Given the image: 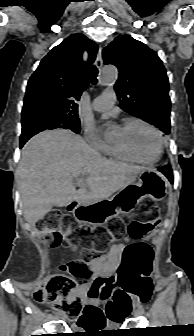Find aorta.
<instances>
[{
    "mask_svg": "<svg viewBox=\"0 0 194 336\" xmlns=\"http://www.w3.org/2000/svg\"><path fill=\"white\" fill-rule=\"evenodd\" d=\"M118 77V71L115 66L109 65L105 66L101 70V75L99 79V84L103 86L112 85L115 83ZM111 134L109 129L104 130V135L109 136Z\"/></svg>",
    "mask_w": 194,
    "mask_h": 336,
    "instance_id": "762f6f07",
    "label": "aorta"
}]
</instances>
